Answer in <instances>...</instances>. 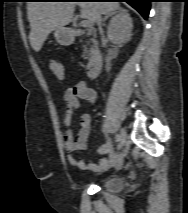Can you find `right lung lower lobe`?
Listing matches in <instances>:
<instances>
[{"label":"right lung lower lobe","instance_id":"98d812e1","mask_svg":"<svg viewBox=\"0 0 188 213\" xmlns=\"http://www.w3.org/2000/svg\"><path fill=\"white\" fill-rule=\"evenodd\" d=\"M119 2H127L134 7L145 19H147L150 11V2L152 0H112Z\"/></svg>","mask_w":188,"mask_h":213}]
</instances>
